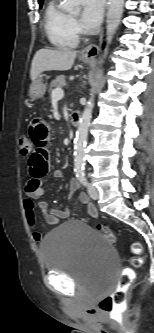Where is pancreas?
<instances>
[{"label":"pancreas","mask_w":154,"mask_h":333,"mask_svg":"<svg viewBox=\"0 0 154 333\" xmlns=\"http://www.w3.org/2000/svg\"><path fill=\"white\" fill-rule=\"evenodd\" d=\"M65 76L60 75L57 76L53 81H51L49 86V92H51L54 88L62 87L66 85Z\"/></svg>","instance_id":"1"}]
</instances>
